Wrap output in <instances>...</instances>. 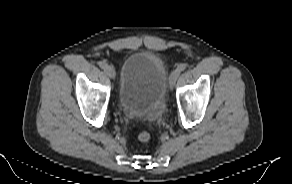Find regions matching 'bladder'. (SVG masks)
<instances>
[{
  "label": "bladder",
  "mask_w": 292,
  "mask_h": 184,
  "mask_svg": "<svg viewBox=\"0 0 292 184\" xmlns=\"http://www.w3.org/2000/svg\"><path fill=\"white\" fill-rule=\"evenodd\" d=\"M168 71L152 52L129 55L124 61L118 85V103L131 117L157 120L163 113Z\"/></svg>",
  "instance_id": "obj_1"
}]
</instances>
